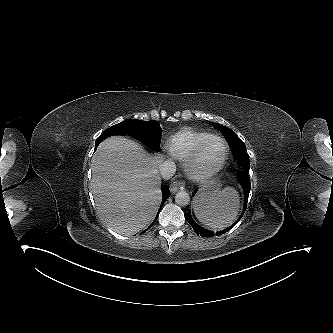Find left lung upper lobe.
Returning a JSON list of instances; mask_svg holds the SVG:
<instances>
[{"instance_id": "1", "label": "left lung upper lobe", "mask_w": 333, "mask_h": 333, "mask_svg": "<svg viewBox=\"0 0 333 333\" xmlns=\"http://www.w3.org/2000/svg\"><path fill=\"white\" fill-rule=\"evenodd\" d=\"M215 128L220 130L225 135L228 143L230 144L235 160L239 162L244 170L238 173V177H240L243 172L247 173L249 169V157L244 142L230 128L219 124H216Z\"/></svg>"}]
</instances>
